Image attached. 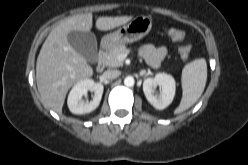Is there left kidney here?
<instances>
[{
    "label": "left kidney",
    "instance_id": "5707ae66",
    "mask_svg": "<svg viewBox=\"0 0 248 165\" xmlns=\"http://www.w3.org/2000/svg\"><path fill=\"white\" fill-rule=\"evenodd\" d=\"M160 87V94L156 95V87ZM175 80L166 73H158L154 78H147L143 82V92L148 102L156 109L163 110L169 106L175 95Z\"/></svg>",
    "mask_w": 248,
    "mask_h": 165
}]
</instances>
